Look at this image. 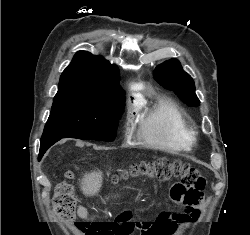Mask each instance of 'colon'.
Listing matches in <instances>:
<instances>
[{"instance_id":"obj_1","label":"colon","mask_w":250,"mask_h":235,"mask_svg":"<svg viewBox=\"0 0 250 235\" xmlns=\"http://www.w3.org/2000/svg\"><path fill=\"white\" fill-rule=\"evenodd\" d=\"M129 173L134 176L147 175L161 181L173 177L179 178L180 181L172 186L170 193L175 210L181 209L182 204L199 205L206 187V179L200 170L181 160L161 158L143 161L133 165ZM72 178L73 172L67 171L64 179L57 185L53 197V209L63 221L74 223L86 235H131L135 231H141V235H164L166 232V225L159 220L140 225L127 213H121L110 220L77 221V202L70 184Z\"/></svg>"}]
</instances>
